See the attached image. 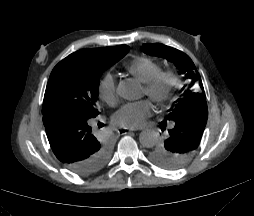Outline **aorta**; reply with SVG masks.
I'll return each instance as SVG.
<instances>
[{"label": "aorta", "instance_id": "obj_1", "mask_svg": "<svg viewBox=\"0 0 254 216\" xmlns=\"http://www.w3.org/2000/svg\"><path fill=\"white\" fill-rule=\"evenodd\" d=\"M140 143L144 147H152L158 140V135L152 130H144L139 136Z\"/></svg>", "mask_w": 254, "mask_h": 216}]
</instances>
